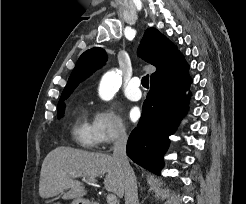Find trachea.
<instances>
[{"label": "trachea", "mask_w": 246, "mask_h": 204, "mask_svg": "<svg viewBox=\"0 0 246 204\" xmlns=\"http://www.w3.org/2000/svg\"><path fill=\"white\" fill-rule=\"evenodd\" d=\"M142 85H143V87H145V88H149V75H145V76L142 78Z\"/></svg>", "instance_id": "1"}]
</instances>
